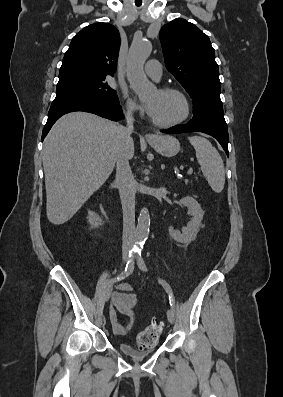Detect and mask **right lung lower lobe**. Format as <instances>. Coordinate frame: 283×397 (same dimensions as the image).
Returning a JSON list of instances; mask_svg holds the SVG:
<instances>
[{
	"mask_svg": "<svg viewBox=\"0 0 283 397\" xmlns=\"http://www.w3.org/2000/svg\"><path fill=\"white\" fill-rule=\"evenodd\" d=\"M74 111H84L94 113L101 117L118 121L123 116L121 115L122 109L119 104H107L97 100L82 98V97H69L63 99H55L50 107L48 113V120L43 129L42 141L48 134L53 124L64 114Z\"/></svg>",
	"mask_w": 283,
	"mask_h": 397,
	"instance_id": "obj_1",
	"label": "right lung lower lobe"
}]
</instances>
